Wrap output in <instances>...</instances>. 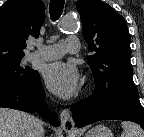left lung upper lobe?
<instances>
[{"mask_svg":"<svg viewBox=\"0 0 144 137\" xmlns=\"http://www.w3.org/2000/svg\"><path fill=\"white\" fill-rule=\"evenodd\" d=\"M77 10L83 37L93 55L87 57L97 93L113 94L136 89L130 65V35L125 19L100 0H79ZM137 90V89H136Z\"/></svg>","mask_w":144,"mask_h":137,"instance_id":"obj_1","label":"left lung upper lobe"}]
</instances>
